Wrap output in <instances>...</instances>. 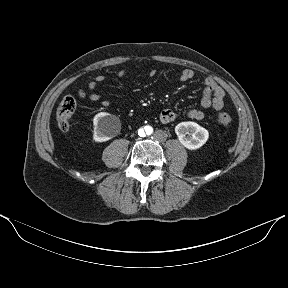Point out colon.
<instances>
[{
	"label": "colon",
	"instance_id": "obj_1",
	"mask_svg": "<svg viewBox=\"0 0 288 288\" xmlns=\"http://www.w3.org/2000/svg\"><path fill=\"white\" fill-rule=\"evenodd\" d=\"M84 97L83 92H79L76 97L68 95L63 97L57 106L56 119L62 132H68L71 127V118L77 107L78 101ZM218 123L222 126L230 125L232 118L226 112H221L217 116Z\"/></svg>",
	"mask_w": 288,
	"mask_h": 288
}]
</instances>
